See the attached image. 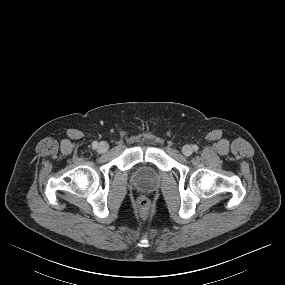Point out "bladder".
Here are the masks:
<instances>
[{
	"instance_id": "obj_1",
	"label": "bladder",
	"mask_w": 285,
	"mask_h": 285,
	"mask_svg": "<svg viewBox=\"0 0 285 285\" xmlns=\"http://www.w3.org/2000/svg\"><path fill=\"white\" fill-rule=\"evenodd\" d=\"M133 181L138 186L149 189L158 181V173L152 167H141L134 172Z\"/></svg>"
}]
</instances>
